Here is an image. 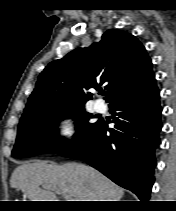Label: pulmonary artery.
<instances>
[{
	"label": "pulmonary artery",
	"instance_id": "1",
	"mask_svg": "<svg viewBox=\"0 0 176 211\" xmlns=\"http://www.w3.org/2000/svg\"><path fill=\"white\" fill-rule=\"evenodd\" d=\"M94 108L97 112H104L106 109V105L102 100L98 99L94 103Z\"/></svg>",
	"mask_w": 176,
	"mask_h": 211
}]
</instances>
